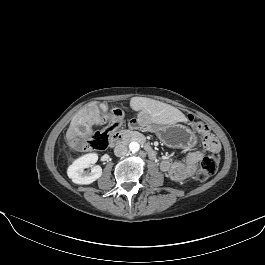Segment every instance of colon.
<instances>
[{
    "label": "colon",
    "mask_w": 265,
    "mask_h": 265,
    "mask_svg": "<svg viewBox=\"0 0 265 265\" xmlns=\"http://www.w3.org/2000/svg\"><path fill=\"white\" fill-rule=\"evenodd\" d=\"M124 120V112L120 108H115L106 113L101 119L102 129L95 132L90 138L86 140L87 149L102 150L106 148L109 142L111 133L122 126ZM193 127L206 138L208 135V128L205 124L190 119ZM220 154L217 151H210L203 157L200 167L197 172V178L200 181H205L213 176L220 164Z\"/></svg>",
    "instance_id": "5ec220e1"
}]
</instances>
